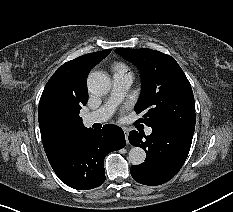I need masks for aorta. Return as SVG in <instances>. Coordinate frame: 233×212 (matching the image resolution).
<instances>
[{
	"label": "aorta",
	"mask_w": 233,
	"mask_h": 212,
	"mask_svg": "<svg viewBox=\"0 0 233 212\" xmlns=\"http://www.w3.org/2000/svg\"><path fill=\"white\" fill-rule=\"evenodd\" d=\"M88 90L96 95H103L109 92L111 81L108 75L101 71L89 74L87 78ZM146 153L140 147H132L128 154V160L132 165H140L145 161Z\"/></svg>",
	"instance_id": "1"
}]
</instances>
